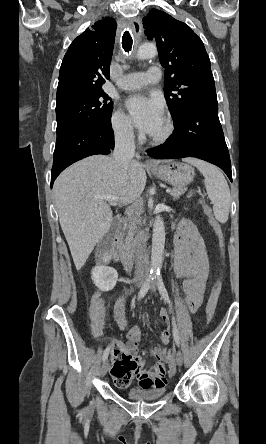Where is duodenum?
<instances>
[{"instance_id":"obj_1","label":"duodenum","mask_w":266,"mask_h":444,"mask_svg":"<svg viewBox=\"0 0 266 444\" xmlns=\"http://www.w3.org/2000/svg\"><path fill=\"white\" fill-rule=\"evenodd\" d=\"M114 243L118 262L121 264L124 271L127 274H130L133 268L132 255L125 247L123 220H119L116 223Z\"/></svg>"}]
</instances>
